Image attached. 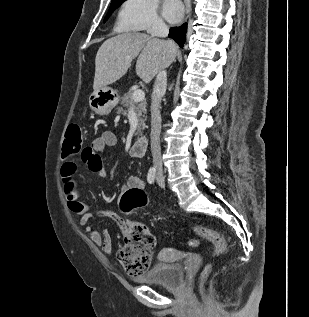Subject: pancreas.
<instances>
[{"mask_svg":"<svg viewBox=\"0 0 309 317\" xmlns=\"http://www.w3.org/2000/svg\"><path fill=\"white\" fill-rule=\"evenodd\" d=\"M121 107H118L117 110L119 113H122L124 116L128 115L129 109H134L136 112L137 118H138V126L136 130V135H140L142 133V130H144L145 121H146V105L147 103L145 101H142L140 103L134 102L132 100V91H128L124 94L123 97H121Z\"/></svg>","mask_w":309,"mask_h":317,"instance_id":"1","label":"pancreas"}]
</instances>
